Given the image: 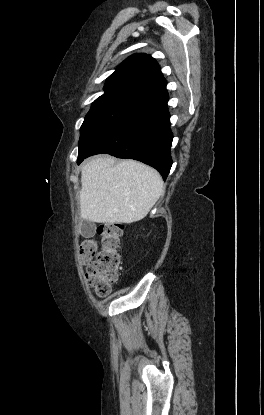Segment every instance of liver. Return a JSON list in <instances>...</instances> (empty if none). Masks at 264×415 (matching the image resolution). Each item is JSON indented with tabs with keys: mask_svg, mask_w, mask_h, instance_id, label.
Masks as SVG:
<instances>
[{
	"mask_svg": "<svg viewBox=\"0 0 264 415\" xmlns=\"http://www.w3.org/2000/svg\"><path fill=\"white\" fill-rule=\"evenodd\" d=\"M80 217L97 223L142 220L163 194L154 168L135 160L115 163L110 156L88 161L81 170Z\"/></svg>",
	"mask_w": 264,
	"mask_h": 415,
	"instance_id": "1",
	"label": "liver"
}]
</instances>
